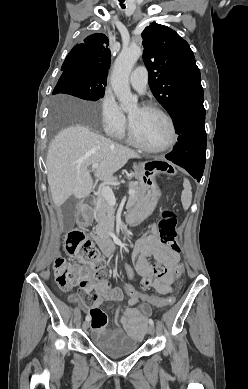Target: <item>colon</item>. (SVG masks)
<instances>
[{
  "instance_id": "1",
  "label": "colon",
  "mask_w": 248,
  "mask_h": 389,
  "mask_svg": "<svg viewBox=\"0 0 248 389\" xmlns=\"http://www.w3.org/2000/svg\"><path fill=\"white\" fill-rule=\"evenodd\" d=\"M177 219L172 210H165L162 218L158 223V234L161 242L174 250L179 251L180 247L176 241L177 237ZM64 250L79 258L85 263V266L68 262L63 258H58L54 264V277L56 284L62 289H69L74 285H79V294L88 304L95 303L98 300H121L122 295L113 292L106 285V280L109 277V269L104 264V261L99 251L86 239L85 235L79 231H71L65 234L63 238ZM174 274L177 280L172 285L171 292H177L181 287V282L178 278L184 272V265L177 264L174 266ZM128 280H134V268L132 265H127L124 269ZM165 273L162 266L154 267L153 276L145 278L141 282L143 289H149L154 278L160 277ZM123 290L127 292L129 298L143 299V303L149 307H156L157 310H165L167 306H171L175 298L173 296H161L154 294L152 291H142L136 289L131 282L122 284ZM90 320L94 329H102L107 324V315L99 309L97 305L90 307Z\"/></svg>"
}]
</instances>
